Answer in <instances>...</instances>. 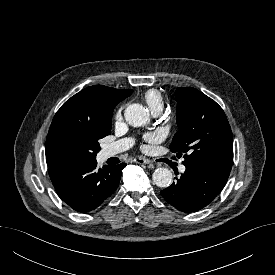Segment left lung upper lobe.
Returning <instances> with one entry per match:
<instances>
[{
	"label": "left lung upper lobe",
	"instance_id": "left-lung-upper-lobe-1",
	"mask_svg": "<svg viewBox=\"0 0 275 275\" xmlns=\"http://www.w3.org/2000/svg\"><path fill=\"white\" fill-rule=\"evenodd\" d=\"M175 95L179 130L173 137L171 151L184 154V165L231 171L233 138L223 109L195 88L179 87Z\"/></svg>",
	"mask_w": 275,
	"mask_h": 275
}]
</instances>
